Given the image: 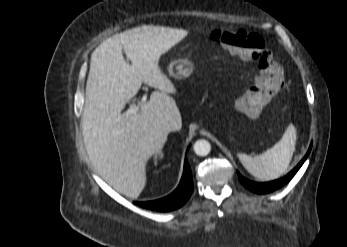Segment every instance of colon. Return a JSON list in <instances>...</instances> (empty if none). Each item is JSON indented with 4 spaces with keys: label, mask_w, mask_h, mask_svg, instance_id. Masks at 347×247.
Here are the masks:
<instances>
[{
    "label": "colon",
    "mask_w": 347,
    "mask_h": 247,
    "mask_svg": "<svg viewBox=\"0 0 347 247\" xmlns=\"http://www.w3.org/2000/svg\"><path fill=\"white\" fill-rule=\"evenodd\" d=\"M209 38L229 53L254 64L257 72L255 84L247 87L244 95L237 99V108L247 114H258L268 96L278 93L285 85L283 69L274 60L273 52L265 46L259 34L243 29H215Z\"/></svg>",
    "instance_id": "1"
}]
</instances>
